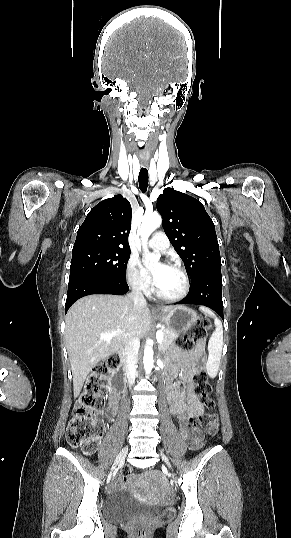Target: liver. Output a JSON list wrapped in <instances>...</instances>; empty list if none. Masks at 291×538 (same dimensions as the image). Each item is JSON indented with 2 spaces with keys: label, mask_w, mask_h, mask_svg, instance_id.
Listing matches in <instances>:
<instances>
[{
  "label": "liver",
  "mask_w": 291,
  "mask_h": 538,
  "mask_svg": "<svg viewBox=\"0 0 291 538\" xmlns=\"http://www.w3.org/2000/svg\"><path fill=\"white\" fill-rule=\"evenodd\" d=\"M175 306H164L166 313ZM65 342L77 397L92 368L121 349L131 336L144 337L150 329L149 308L135 307L126 296L94 294L73 304L66 315ZM119 330L110 341L102 334Z\"/></svg>",
  "instance_id": "1"
}]
</instances>
